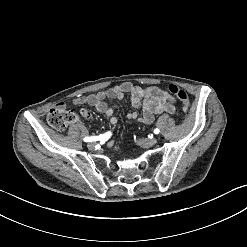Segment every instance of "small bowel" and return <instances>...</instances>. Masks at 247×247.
<instances>
[{
	"mask_svg": "<svg viewBox=\"0 0 247 247\" xmlns=\"http://www.w3.org/2000/svg\"><path fill=\"white\" fill-rule=\"evenodd\" d=\"M129 95L130 102L133 107L142 110V115L138 118L136 112H128L127 118L129 120H136L143 124H151L154 117L159 113L173 114L175 112V99L166 91L158 87H140L133 85L130 82H123L115 85L107 90L98 91L96 93L79 96L73 100L75 105H89L96 111L105 114L112 125H116L118 119L115 115L117 104L124 100L125 96ZM113 99L116 101L114 105H108L105 100ZM59 108H65L66 103L61 102L58 104ZM81 116L85 119L92 117V112L83 108L80 111ZM109 147H113L114 143L109 142Z\"/></svg>",
	"mask_w": 247,
	"mask_h": 247,
	"instance_id": "1",
	"label": "small bowel"
}]
</instances>
